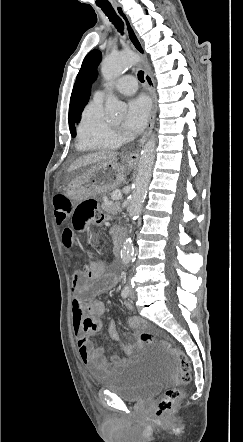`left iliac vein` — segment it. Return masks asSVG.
I'll return each mask as SVG.
<instances>
[{
	"label": "left iliac vein",
	"instance_id": "1",
	"mask_svg": "<svg viewBox=\"0 0 243 442\" xmlns=\"http://www.w3.org/2000/svg\"><path fill=\"white\" fill-rule=\"evenodd\" d=\"M129 297H130V299H131V300H135V298H136V295H135V292H134V290H133V289H130V294H129Z\"/></svg>",
	"mask_w": 243,
	"mask_h": 442
}]
</instances>
